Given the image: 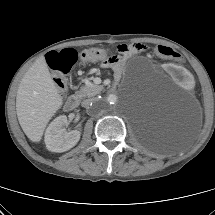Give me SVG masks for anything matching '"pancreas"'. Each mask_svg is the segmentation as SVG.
<instances>
[{
  "instance_id": "pancreas-1",
  "label": "pancreas",
  "mask_w": 215,
  "mask_h": 215,
  "mask_svg": "<svg viewBox=\"0 0 215 215\" xmlns=\"http://www.w3.org/2000/svg\"><path fill=\"white\" fill-rule=\"evenodd\" d=\"M102 89V85H96L90 81H87L86 84L76 92V96H78L79 98L92 97L100 93Z\"/></svg>"
}]
</instances>
